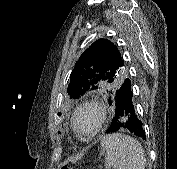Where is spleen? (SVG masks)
<instances>
[{"label":"spleen","instance_id":"obj_1","mask_svg":"<svg viewBox=\"0 0 177 169\" xmlns=\"http://www.w3.org/2000/svg\"><path fill=\"white\" fill-rule=\"evenodd\" d=\"M100 144L106 169H145L144 150L135 138L114 133L104 136Z\"/></svg>","mask_w":177,"mask_h":169}]
</instances>
